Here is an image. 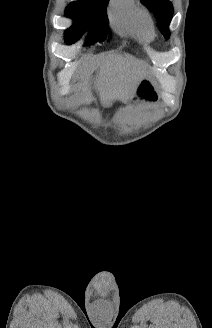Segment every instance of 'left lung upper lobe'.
<instances>
[{
    "mask_svg": "<svg viewBox=\"0 0 212 328\" xmlns=\"http://www.w3.org/2000/svg\"><path fill=\"white\" fill-rule=\"evenodd\" d=\"M157 19L158 27L165 38H169V23L173 16V6L168 0H140Z\"/></svg>",
    "mask_w": 212,
    "mask_h": 328,
    "instance_id": "obj_1",
    "label": "left lung upper lobe"
}]
</instances>
